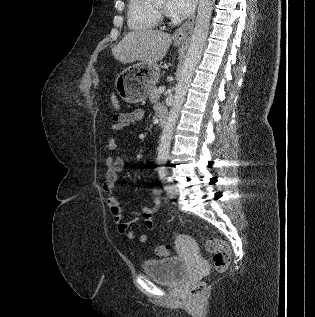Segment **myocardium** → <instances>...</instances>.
Here are the masks:
<instances>
[{"label":"myocardium","mask_w":315,"mask_h":317,"mask_svg":"<svg viewBox=\"0 0 315 317\" xmlns=\"http://www.w3.org/2000/svg\"><path fill=\"white\" fill-rule=\"evenodd\" d=\"M155 10H156V12H157V14H158V16H159L160 19L165 18V14H164V12H163L162 9H160V8H158V7H155Z\"/></svg>","instance_id":"f54148a6"}]
</instances>
